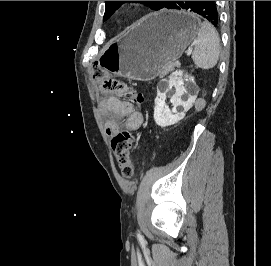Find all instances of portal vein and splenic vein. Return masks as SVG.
<instances>
[{
    "label": "portal vein and splenic vein",
    "instance_id": "1",
    "mask_svg": "<svg viewBox=\"0 0 271 266\" xmlns=\"http://www.w3.org/2000/svg\"><path fill=\"white\" fill-rule=\"evenodd\" d=\"M191 53H192V48L189 47L188 50L186 51V54H187V56H190ZM176 63H177L178 66L180 65V62H179V61H177Z\"/></svg>",
    "mask_w": 271,
    "mask_h": 266
}]
</instances>
